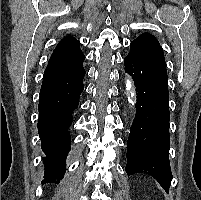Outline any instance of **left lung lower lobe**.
<instances>
[{
	"label": "left lung lower lobe",
	"mask_w": 201,
	"mask_h": 200,
	"mask_svg": "<svg viewBox=\"0 0 201 200\" xmlns=\"http://www.w3.org/2000/svg\"><path fill=\"white\" fill-rule=\"evenodd\" d=\"M137 92L136 114L127 149L128 175L145 173L169 192L172 173L169 162V92L165 59L141 58L128 54L124 59Z\"/></svg>",
	"instance_id": "obj_1"
}]
</instances>
